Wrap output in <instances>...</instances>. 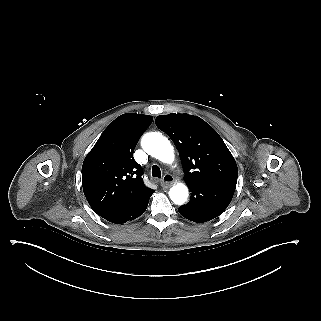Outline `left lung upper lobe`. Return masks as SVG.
<instances>
[{
    "label": "left lung upper lobe",
    "instance_id": "1",
    "mask_svg": "<svg viewBox=\"0 0 321 321\" xmlns=\"http://www.w3.org/2000/svg\"><path fill=\"white\" fill-rule=\"evenodd\" d=\"M178 149L186 184L237 179L235 159L219 134L204 120L189 114L161 115L155 119Z\"/></svg>",
    "mask_w": 321,
    "mask_h": 321
}]
</instances>
